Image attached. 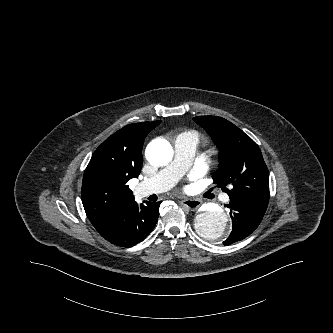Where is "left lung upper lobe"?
Here are the masks:
<instances>
[{"mask_svg":"<svg viewBox=\"0 0 333 333\" xmlns=\"http://www.w3.org/2000/svg\"><path fill=\"white\" fill-rule=\"evenodd\" d=\"M193 120L207 131L220 150L219 170L212 175L214 182L230 200L267 209L269 171L258 145L224 118L199 116Z\"/></svg>","mask_w":333,"mask_h":333,"instance_id":"obj_1","label":"left lung upper lobe"}]
</instances>
